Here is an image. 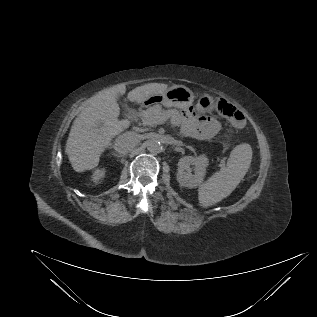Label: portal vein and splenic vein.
<instances>
[{
  "instance_id": "18ae733b",
  "label": "portal vein and splenic vein",
  "mask_w": 317,
  "mask_h": 317,
  "mask_svg": "<svg viewBox=\"0 0 317 317\" xmlns=\"http://www.w3.org/2000/svg\"><path fill=\"white\" fill-rule=\"evenodd\" d=\"M165 121V116L163 114L157 115L152 121H150L152 124H162Z\"/></svg>"
}]
</instances>
